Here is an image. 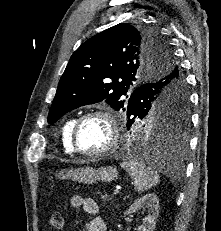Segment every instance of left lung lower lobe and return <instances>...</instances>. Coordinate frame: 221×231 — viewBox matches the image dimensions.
<instances>
[{
  "label": "left lung lower lobe",
  "instance_id": "1",
  "mask_svg": "<svg viewBox=\"0 0 221 231\" xmlns=\"http://www.w3.org/2000/svg\"><path fill=\"white\" fill-rule=\"evenodd\" d=\"M173 77H175V73L168 76L162 82L159 81L155 83H148V84H145L144 86H140L136 88L131 94L129 98V102H131L132 105H136V104L138 105L139 101H143V97L145 96V94L163 89L164 86H166L167 81H169ZM180 85L185 87V81L181 82ZM175 87H176V84H172L170 86H167L165 90L169 89L171 91ZM180 102H181V99L179 98L177 99V97H175V99H173L174 107L175 106L178 107L180 105ZM182 103L183 101L181 102V104ZM135 120H136L135 116L128 119V122H127L128 129L132 127ZM139 142L144 145V149H137V152H136L137 155H139L140 157L146 158V157H149L148 156L149 152L153 151L154 149H158V150H161V152L164 154L165 156L164 162L166 163L167 162L172 163L180 159L185 153L186 148H187V139L184 133L173 134V135L172 134L171 135H168V134L161 135L160 132L155 131L153 134H143L139 138ZM160 161L161 159L158 160V162Z\"/></svg>",
  "mask_w": 221,
  "mask_h": 231
}]
</instances>
